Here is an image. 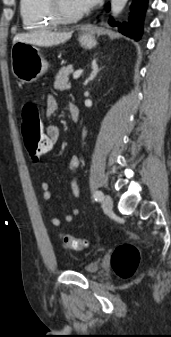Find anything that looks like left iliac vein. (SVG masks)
<instances>
[{
    "label": "left iliac vein",
    "mask_w": 171,
    "mask_h": 337,
    "mask_svg": "<svg viewBox=\"0 0 171 337\" xmlns=\"http://www.w3.org/2000/svg\"><path fill=\"white\" fill-rule=\"evenodd\" d=\"M102 207L105 211H112L113 209V200L110 195H105L102 201Z\"/></svg>",
    "instance_id": "1"
}]
</instances>
